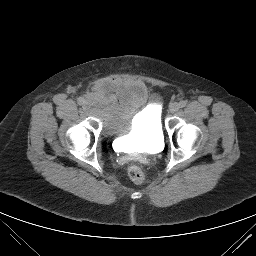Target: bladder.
Returning a JSON list of instances; mask_svg holds the SVG:
<instances>
[{
	"instance_id": "31cf9c89",
	"label": "bladder",
	"mask_w": 256,
	"mask_h": 256,
	"mask_svg": "<svg viewBox=\"0 0 256 256\" xmlns=\"http://www.w3.org/2000/svg\"><path fill=\"white\" fill-rule=\"evenodd\" d=\"M106 135L124 136L129 146L152 149L163 142L158 98L139 82H103L87 97Z\"/></svg>"
}]
</instances>
